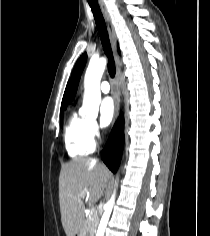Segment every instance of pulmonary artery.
Masks as SVG:
<instances>
[{
    "mask_svg": "<svg viewBox=\"0 0 210 236\" xmlns=\"http://www.w3.org/2000/svg\"><path fill=\"white\" fill-rule=\"evenodd\" d=\"M100 91L102 93H108L110 91V85L108 82H102L100 85Z\"/></svg>",
    "mask_w": 210,
    "mask_h": 236,
    "instance_id": "pulmonary-artery-1",
    "label": "pulmonary artery"
}]
</instances>
